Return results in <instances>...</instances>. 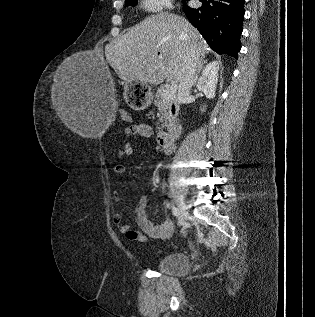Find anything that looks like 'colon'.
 Listing matches in <instances>:
<instances>
[{"mask_svg": "<svg viewBox=\"0 0 315 317\" xmlns=\"http://www.w3.org/2000/svg\"><path fill=\"white\" fill-rule=\"evenodd\" d=\"M123 119L125 121H130V117L126 113L123 114Z\"/></svg>", "mask_w": 315, "mask_h": 317, "instance_id": "5ec220e1", "label": "colon"}]
</instances>
